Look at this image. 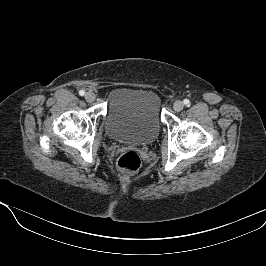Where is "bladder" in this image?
I'll return each mask as SVG.
<instances>
[{
	"mask_svg": "<svg viewBox=\"0 0 266 266\" xmlns=\"http://www.w3.org/2000/svg\"><path fill=\"white\" fill-rule=\"evenodd\" d=\"M106 132L115 141L147 145L161 128V98L151 89L118 88L109 98Z\"/></svg>",
	"mask_w": 266,
	"mask_h": 266,
	"instance_id": "obj_1",
	"label": "bladder"
}]
</instances>
